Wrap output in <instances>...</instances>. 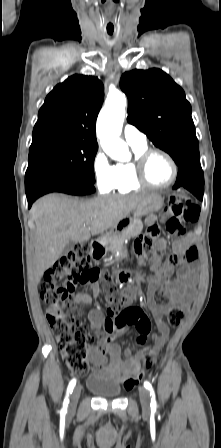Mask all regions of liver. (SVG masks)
<instances>
[{
	"instance_id": "1",
	"label": "liver",
	"mask_w": 221,
	"mask_h": 448,
	"mask_svg": "<svg viewBox=\"0 0 221 448\" xmlns=\"http://www.w3.org/2000/svg\"><path fill=\"white\" fill-rule=\"evenodd\" d=\"M151 195L100 196L88 201L62 194H49L40 198L31 208L36 224V283L57 261L69 241L86 242L91 235L114 228Z\"/></svg>"
}]
</instances>
